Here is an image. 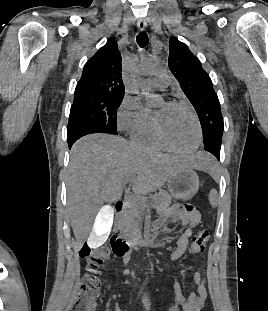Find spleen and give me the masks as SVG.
<instances>
[{
  "instance_id": "1",
  "label": "spleen",
  "mask_w": 268,
  "mask_h": 311,
  "mask_svg": "<svg viewBox=\"0 0 268 311\" xmlns=\"http://www.w3.org/2000/svg\"><path fill=\"white\" fill-rule=\"evenodd\" d=\"M209 203L213 208L219 204V196L216 189H212L209 193Z\"/></svg>"
}]
</instances>
